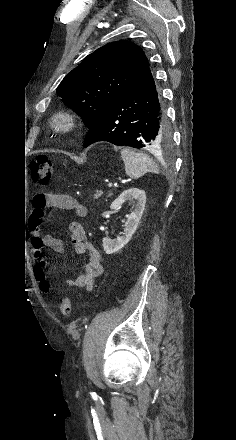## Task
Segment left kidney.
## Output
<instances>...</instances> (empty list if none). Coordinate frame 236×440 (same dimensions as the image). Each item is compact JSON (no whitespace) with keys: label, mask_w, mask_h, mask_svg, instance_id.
Returning <instances> with one entry per match:
<instances>
[{"label":"left kidney","mask_w":236,"mask_h":440,"mask_svg":"<svg viewBox=\"0 0 236 440\" xmlns=\"http://www.w3.org/2000/svg\"><path fill=\"white\" fill-rule=\"evenodd\" d=\"M127 200L134 203V210L126 215L127 219L124 224L125 229L122 236H117V238L113 240L103 238V249L106 254H112L121 250L131 240L141 220L146 204L145 191L138 188L128 189L112 202L110 208L119 210Z\"/></svg>","instance_id":"left-kidney-1"}]
</instances>
